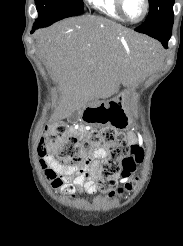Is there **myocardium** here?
<instances>
[{
	"label": "myocardium",
	"instance_id": "myocardium-1",
	"mask_svg": "<svg viewBox=\"0 0 183 246\" xmlns=\"http://www.w3.org/2000/svg\"><path fill=\"white\" fill-rule=\"evenodd\" d=\"M116 1V6H117V9L119 11V13L122 15V17L130 22V23H139L141 22L142 20L145 19V17L147 16L148 12H149V9H150V4H149V0H142L143 1V4H144V11H143V14L141 15V17L137 20H133L131 18H129L126 14V11H125V0H115Z\"/></svg>",
	"mask_w": 183,
	"mask_h": 246
}]
</instances>
